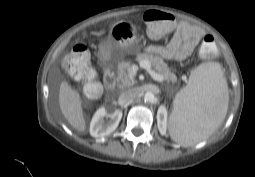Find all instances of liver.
I'll list each match as a JSON object with an SVG mask.
<instances>
[{"instance_id": "obj_1", "label": "liver", "mask_w": 255, "mask_h": 177, "mask_svg": "<svg viewBox=\"0 0 255 177\" xmlns=\"http://www.w3.org/2000/svg\"><path fill=\"white\" fill-rule=\"evenodd\" d=\"M59 107L63 116L73 128L80 132L85 131L86 123L83 116L80 95L66 81L60 84Z\"/></svg>"}]
</instances>
